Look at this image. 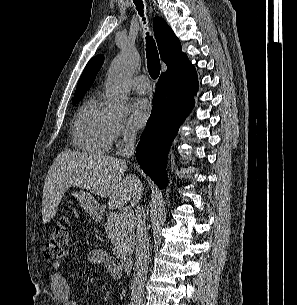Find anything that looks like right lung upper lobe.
<instances>
[{
  "label": "right lung upper lobe",
  "mask_w": 297,
  "mask_h": 305,
  "mask_svg": "<svg viewBox=\"0 0 297 305\" xmlns=\"http://www.w3.org/2000/svg\"><path fill=\"white\" fill-rule=\"evenodd\" d=\"M153 28L161 59L167 65V70L162 73L163 75H174L191 65L187 55L181 50L179 39L164 19L155 17L153 19ZM103 59L102 55H98L88 62L78 81L73 100L84 97L101 68Z\"/></svg>",
  "instance_id": "right-lung-upper-lobe-1"
}]
</instances>
